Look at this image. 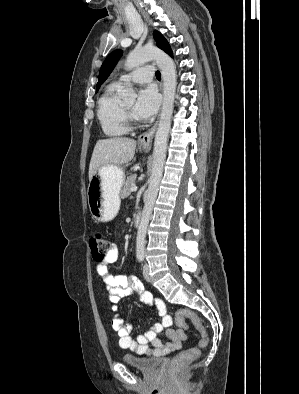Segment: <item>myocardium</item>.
Instances as JSON below:
<instances>
[{
	"mask_svg": "<svg viewBox=\"0 0 299 394\" xmlns=\"http://www.w3.org/2000/svg\"><path fill=\"white\" fill-rule=\"evenodd\" d=\"M123 112L125 115V118L127 120V123H133L135 121V117L132 113V111L128 110L124 105H123Z\"/></svg>",
	"mask_w": 299,
	"mask_h": 394,
	"instance_id": "obj_1",
	"label": "myocardium"
}]
</instances>
